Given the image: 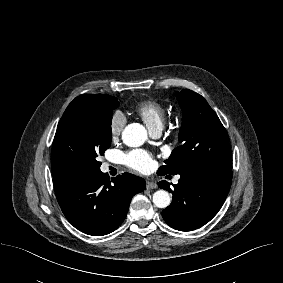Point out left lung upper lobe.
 Here are the masks:
<instances>
[{
    "mask_svg": "<svg viewBox=\"0 0 283 283\" xmlns=\"http://www.w3.org/2000/svg\"><path fill=\"white\" fill-rule=\"evenodd\" d=\"M176 96L183 115L180 146L172 151L158 173H232L227 133L216 113L201 95L191 90H182Z\"/></svg>",
    "mask_w": 283,
    "mask_h": 283,
    "instance_id": "obj_1",
    "label": "left lung upper lobe"
}]
</instances>
